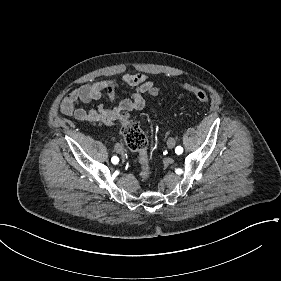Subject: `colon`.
Segmentation results:
<instances>
[{
    "instance_id": "1",
    "label": "colon",
    "mask_w": 281,
    "mask_h": 281,
    "mask_svg": "<svg viewBox=\"0 0 281 281\" xmlns=\"http://www.w3.org/2000/svg\"><path fill=\"white\" fill-rule=\"evenodd\" d=\"M180 88L192 92L195 99L200 103H207L209 101L208 94L197 90L195 86H187L185 83H182ZM157 92V89L154 88L153 93L157 94ZM120 131L128 146L138 155L141 165L139 174L141 177H145L149 171L148 138L146 134L140 129L137 121L129 119L126 115L120 119Z\"/></svg>"
}]
</instances>
